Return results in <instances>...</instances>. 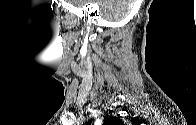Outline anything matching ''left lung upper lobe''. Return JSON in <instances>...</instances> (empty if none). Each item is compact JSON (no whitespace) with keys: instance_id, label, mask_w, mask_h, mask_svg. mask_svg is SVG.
<instances>
[{"instance_id":"obj_1","label":"left lung upper lobe","mask_w":196,"mask_h":125,"mask_svg":"<svg viewBox=\"0 0 196 125\" xmlns=\"http://www.w3.org/2000/svg\"><path fill=\"white\" fill-rule=\"evenodd\" d=\"M104 124L105 125H123V122L119 118L107 116L104 118Z\"/></svg>"}]
</instances>
